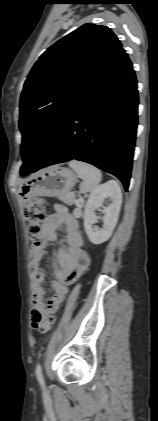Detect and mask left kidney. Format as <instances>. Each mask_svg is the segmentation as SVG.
<instances>
[{
    "label": "left kidney",
    "mask_w": 158,
    "mask_h": 421,
    "mask_svg": "<svg viewBox=\"0 0 158 421\" xmlns=\"http://www.w3.org/2000/svg\"><path fill=\"white\" fill-rule=\"evenodd\" d=\"M109 198L111 203L104 207L103 202ZM122 204V192L115 180H110L98 186L89 196L84 211V229L93 244H101L107 241L116 226ZM102 207L104 216L103 227L99 228L94 224L98 222L96 210Z\"/></svg>",
    "instance_id": "left-kidney-1"
}]
</instances>
